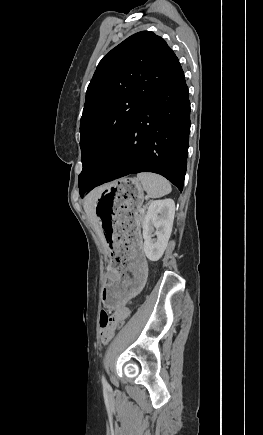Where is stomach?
<instances>
[{"instance_id": "stomach-1", "label": "stomach", "mask_w": 263, "mask_h": 435, "mask_svg": "<svg viewBox=\"0 0 263 435\" xmlns=\"http://www.w3.org/2000/svg\"><path fill=\"white\" fill-rule=\"evenodd\" d=\"M144 193L139 180L124 177L105 185L94 207L98 232L104 233L109 260H106V282L103 304L106 310H119L138 299L148 282L147 260H142L143 233L138 209Z\"/></svg>"}]
</instances>
